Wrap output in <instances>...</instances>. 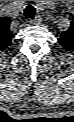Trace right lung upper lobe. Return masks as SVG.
Segmentation results:
<instances>
[{
  "mask_svg": "<svg viewBox=\"0 0 74 122\" xmlns=\"http://www.w3.org/2000/svg\"><path fill=\"white\" fill-rule=\"evenodd\" d=\"M10 19H0V50L7 48L12 40V34L10 32Z\"/></svg>",
  "mask_w": 74,
  "mask_h": 122,
  "instance_id": "1",
  "label": "right lung upper lobe"
}]
</instances>
